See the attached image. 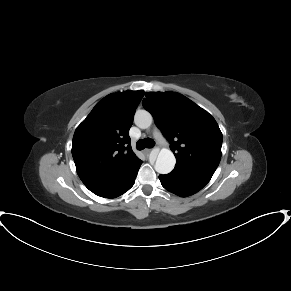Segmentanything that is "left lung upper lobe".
<instances>
[{
  "label": "left lung upper lobe",
  "instance_id": "1",
  "mask_svg": "<svg viewBox=\"0 0 291 291\" xmlns=\"http://www.w3.org/2000/svg\"><path fill=\"white\" fill-rule=\"evenodd\" d=\"M143 106L171 143L176 169L214 174L221 158L223 137L207 111L177 92H146Z\"/></svg>",
  "mask_w": 291,
  "mask_h": 291
}]
</instances>
